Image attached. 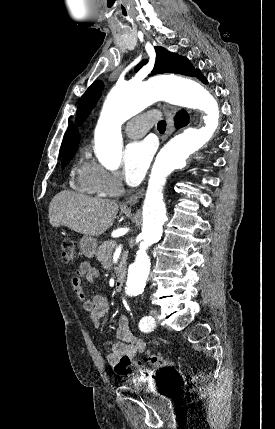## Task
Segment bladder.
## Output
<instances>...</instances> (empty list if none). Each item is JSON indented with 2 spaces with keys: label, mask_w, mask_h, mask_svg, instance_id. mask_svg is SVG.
<instances>
[{
  "label": "bladder",
  "mask_w": 275,
  "mask_h": 429,
  "mask_svg": "<svg viewBox=\"0 0 275 429\" xmlns=\"http://www.w3.org/2000/svg\"><path fill=\"white\" fill-rule=\"evenodd\" d=\"M134 393H147V398H176L175 377L140 378Z\"/></svg>",
  "instance_id": "obj_1"
}]
</instances>
